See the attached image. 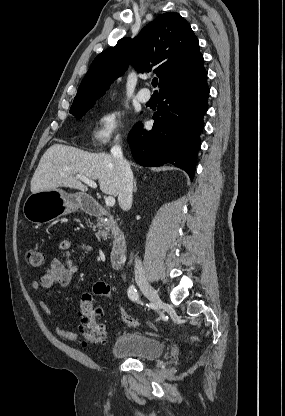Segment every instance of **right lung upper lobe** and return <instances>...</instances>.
Returning a JSON list of instances; mask_svg holds the SVG:
<instances>
[{
  "instance_id": "1",
  "label": "right lung upper lobe",
  "mask_w": 285,
  "mask_h": 416,
  "mask_svg": "<svg viewBox=\"0 0 285 416\" xmlns=\"http://www.w3.org/2000/svg\"><path fill=\"white\" fill-rule=\"evenodd\" d=\"M129 63L139 72L153 71L159 78V93L206 72L190 25L178 13H164L136 38H122L94 59L71 109L93 103L113 80L123 75Z\"/></svg>"
}]
</instances>
